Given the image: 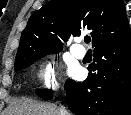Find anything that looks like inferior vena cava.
<instances>
[{"label":"inferior vena cava","instance_id":"1","mask_svg":"<svg viewBox=\"0 0 131 115\" xmlns=\"http://www.w3.org/2000/svg\"><path fill=\"white\" fill-rule=\"evenodd\" d=\"M60 114L61 115H68L67 111L64 108L60 109Z\"/></svg>","mask_w":131,"mask_h":115}]
</instances>
